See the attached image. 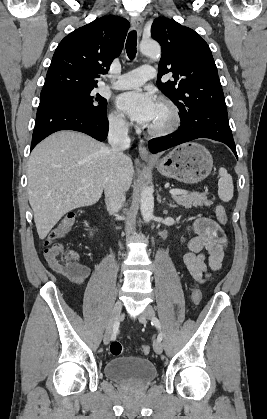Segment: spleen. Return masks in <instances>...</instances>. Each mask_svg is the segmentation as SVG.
<instances>
[{
  "instance_id": "3e777b00",
  "label": "spleen",
  "mask_w": 267,
  "mask_h": 419,
  "mask_svg": "<svg viewBox=\"0 0 267 419\" xmlns=\"http://www.w3.org/2000/svg\"><path fill=\"white\" fill-rule=\"evenodd\" d=\"M218 196L223 202H229L233 198V180L225 168L219 169Z\"/></svg>"
}]
</instances>
